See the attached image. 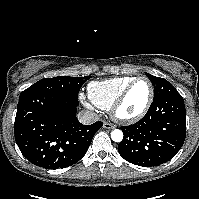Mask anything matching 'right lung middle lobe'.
<instances>
[{
	"label": "right lung middle lobe",
	"instance_id": "1",
	"mask_svg": "<svg viewBox=\"0 0 199 199\" xmlns=\"http://www.w3.org/2000/svg\"><path fill=\"white\" fill-rule=\"evenodd\" d=\"M90 77L91 76H58L54 78L41 79L26 90L22 91L20 97L32 93H46L78 99V93L81 86Z\"/></svg>",
	"mask_w": 199,
	"mask_h": 199
}]
</instances>
